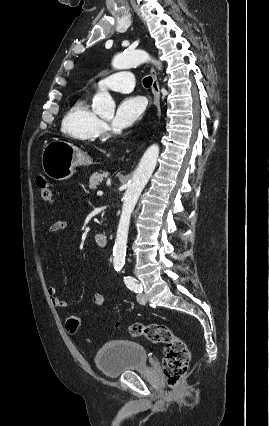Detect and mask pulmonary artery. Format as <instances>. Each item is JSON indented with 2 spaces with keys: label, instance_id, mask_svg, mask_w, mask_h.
Returning <instances> with one entry per match:
<instances>
[{
  "label": "pulmonary artery",
  "instance_id": "e3ab8cb5",
  "mask_svg": "<svg viewBox=\"0 0 269 426\" xmlns=\"http://www.w3.org/2000/svg\"><path fill=\"white\" fill-rule=\"evenodd\" d=\"M135 84V75L131 71H120L111 74L97 83L99 89H110L122 93L131 92Z\"/></svg>",
  "mask_w": 269,
  "mask_h": 426
}]
</instances>
